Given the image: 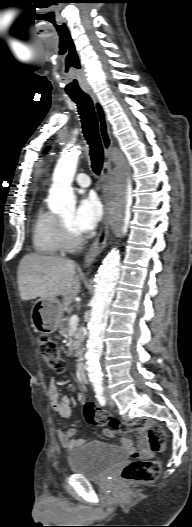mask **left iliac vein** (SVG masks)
<instances>
[{"mask_svg": "<svg viewBox=\"0 0 192 527\" xmlns=\"http://www.w3.org/2000/svg\"><path fill=\"white\" fill-rule=\"evenodd\" d=\"M106 397H107V401H108V404L113 407L115 406V402L114 400L111 398L110 396V393L106 390Z\"/></svg>", "mask_w": 192, "mask_h": 527, "instance_id": "1", "label": "left iliac vein"}]
</instances>
